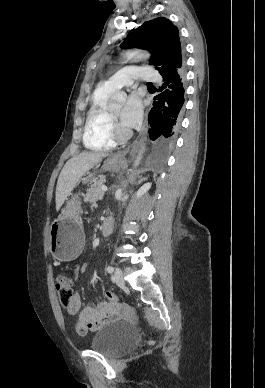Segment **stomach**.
I'll return each mask as SVG.
<instances>
[{"label": "stomach", "instance_id": "stomach-1", "mask_svg": "<svg viewBox=\"0 0 265 388\" xmlns=\"http://www.w3.org/2000/svg\"><path fill=\"white\" fill-rule=\"evenodd\" d=\"M126 161L116 155L103 164V171H120ZM64 209V215L56 219L50 229V251L60 261H71L78 257L84 243V234L79 222L82 212L79 194H71Z\"/></svg>", "mask_w": 265, "mask_h": 388}]
</instances>
